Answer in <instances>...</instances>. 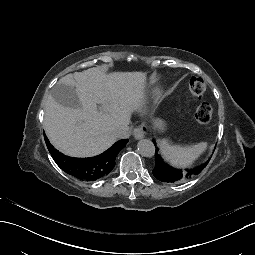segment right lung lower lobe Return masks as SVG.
I'll use <instances>...</instances> for the list:
<instances>
[{
	"label": "right lung lower lobe",
	"instance_id": "1",
	"mask_svg": "<svg viewBox=\"0 0 255 255\" xmlns=\"http://www.w3.org/2000/svg\"><path fill=\"white\" fill-rule=\"evenodd\" d=\"M83 179L85 181H92L94 179V166L92 164H85L83 166Z\"/></svg>",
	"mask_w": 255,
	"mask_h": 255
}]
</instances>
